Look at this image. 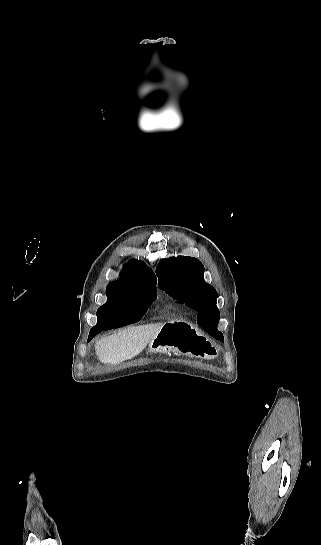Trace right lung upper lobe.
Here are the masks:
<instances>
[{
	"label": "right lung upper lobe",
	"instance_id": "1",
	"mask_svg": "<svg viewBox=\"0 0 321 545\" xmlns=\"http://www.w3.org/2000/svg\"><path fill=\"white\" fill-rule=\"evenodd\" d=\"M121 278L111 282L108 287L129 290L156 289L157 279L144 263L131 260L120 273Z\"/></svg>",
	"mask_w": 321,
	"mask_h": 545
}]
</instances>
